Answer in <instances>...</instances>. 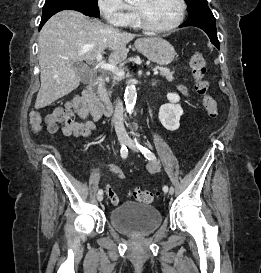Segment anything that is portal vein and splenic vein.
I'll use <instances>...</instances> for the list:
<instances>
[{
  "mask_svg": "<svg viewBox=\"0 0 261 273\" xmlns=\"http://www.w3.org/2000/svg\"><path fill=\"white\" fill-rule=\"evenodd\" d=\"M97 59V67L101 68V69H104V70H107V71H111L112 73H114L116 76H119V77H124L125 75V72L123 69L117 67L116 65L114 64H111V63H104L102 61V54L99 53L96 57ZM154 74H158V70H154Z\"/></svg>",
  "mask_w": 261,
  "mask_h": 273,
  "instance_id": "1",
  "label": "portal vein and splenic vein"
}]
</instances>
